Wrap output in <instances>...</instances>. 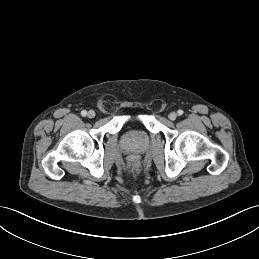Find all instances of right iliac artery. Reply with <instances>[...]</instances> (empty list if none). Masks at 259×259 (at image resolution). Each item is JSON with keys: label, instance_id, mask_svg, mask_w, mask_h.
Segmentation results:
<instances>
[{"label": "right iliac artery", "instance_id": "obj_1", "mask_svg": "<svg viewBox=\"0 0 259 259\" xmlns=\"http://www.w3.org/2000/svg\"><path fill=\"white\" fill-rule=\"evenodd\" d=\"M81 115H82L83 117H85V116L87 115V111L83 110V111L81 112Z\"/></svg>", "mask_w": 259, "mask_h": 259}]
</instances>
